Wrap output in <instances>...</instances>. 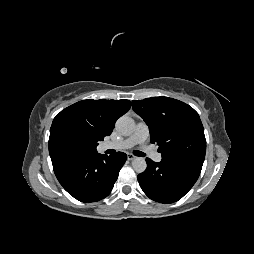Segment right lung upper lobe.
Segmentation results:
<instances>
[{
	"instance_id": "right-lung-upper-lobe-1",
	"label": "right lung upper lobe",
	"mask_w": 254,
	"mask_h": 254,
	"mask_svg": "<svg viewBox=\"0 0 254 254\" xmlns=\"http://www.w3.org/2000/svg\"><path fill=\"white\" fill-rule=\"evenodd\" d=\"M131 107L129 100H83L62 110L53 120L49 154H96L99 141L109 136L116 120Z\"/></svg>"
}]
</instances>
